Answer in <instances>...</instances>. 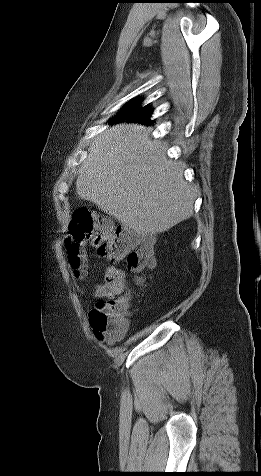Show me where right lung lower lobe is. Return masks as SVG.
<instances>
[{
  "label": "right lung lower lobe",
  "mask_w": 261,
  "mask_h": 476,
  "mask_svg": "<svg viewBox=\"0 0 261 476\" xmlns=\"http://www.w3.org/2000/svg\"><path fill=\"white\" fill-rule=\"evenodd\" d=\"M126 119H127V118H126ZM123 120H125V119H123ZM123 120H120V119H117V118L115 119V121H123ZM127 120H129V121H136V120H131V119H127ZM138 122L147 123V124L150 123V121H149V122L138 121Z\"/></svg>",
  "instance_id": "obj_1"
}]
</instances>
